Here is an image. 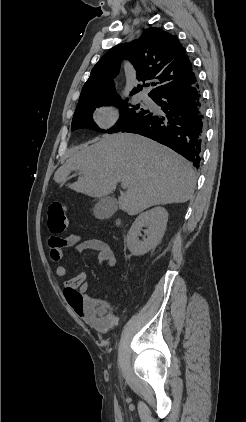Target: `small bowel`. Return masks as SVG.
<instances>
[{
	"instance_id": "small-bowel-1",
	"label": "small bowel",
	"mask_w": 246,
	"mask_h": 422,
	"mask_svg": "<svg viewBox=\"0 0 246 422\" xmlns=\"http://www.w3.org/2000/svg\"><path fill=\"white\" fill-rule=\"evenodd\" d=\"M50 258L54 262L60 261L69 248H74L78 253L85 250H94L98 254L101 265L115 267L117 257L113 248L99 239L82 241L78 235H70L67 238L51 237L49 239ZM57 277L63 278L68 275V270L63 265L55 269ZM88 290L87 275L82 272L63 283V294L75 312L89 325L104 331L115 322L111 314V303L97 297L86 295Z\"/></svg>"
}]
</instances>
